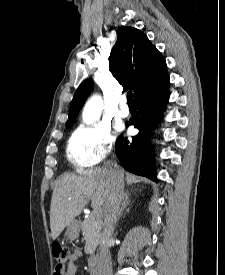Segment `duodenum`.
Returning <instances> with one entry per match:
<instances>
[{
  "label": "duodenum",
  "instance_id": "1",
  "mask_svg": "<svg viewBox=\"0 0 225 275\" xmlns=\"http://www.w3.org/2000/svg\"><path fill=\"white\" fill-rule=\"evenodd\" d=\"M89 267H90L91 275H98V270H99V257L98 256H91L89 258Z\"/></svg>",
  "mask_w": 225,
  "mask_h": 275
}]
</instances>
